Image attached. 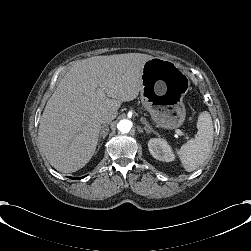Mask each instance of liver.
<instances>
[{
  "label": "liver",
  "mask_w": 251,
  "mask_h": 251,
  "mask_svg": "<svg viewBox=\"0 0 251 251\" xmlns=\"http://www.w3.org/2000/svg\"><path fill=\"white\" fill-rule=\"evenodd\" d=\"M143 53L93 56L73 63L47 101L38 139L58 171L72 173L93 155L101 120L117 116L121 102L138 96Z\"/></svg>",
  "instance_id": "6515ba94"
}]
</instances>
